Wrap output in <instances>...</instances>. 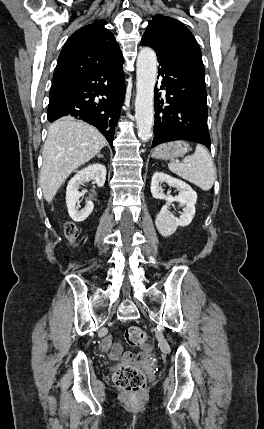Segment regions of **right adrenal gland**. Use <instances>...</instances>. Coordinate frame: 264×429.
Wrapping results in <instances>:
<instances>
[{"label": "right adrenal gland", "mask_w": 264, "mask_h": 429, "mask_svg": "<svg viewBox=\"0 0 264 429\" xmlns=\"http://www.w3.org/2000/svg\"><path fill=\"white\" fill-rule=\"evenodd\" d=\"M97 157H98V158H103V155L98 154V155H97Z\"/></svg>", "instance_id": "right-adrenal-gland-1"}]
</instances>
